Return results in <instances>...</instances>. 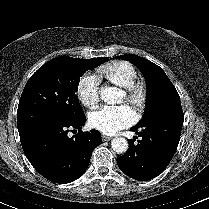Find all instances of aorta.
Segmentation results:
<instances>
[{
	"label": "aorta",
	"instance_id": "1",
	"mask_svg": "<svg viewBox=\"0 0 209 209\" xmlns=\"http://www.w3.org/2000/svg\"><path fill=\"white\" fill-rule=\"evenodd\" d=\"M121 95L122 92L117 87H106L101 90V99L107 103L116 101ZM111 147L116 153L122 154L128 150V142L123 137H115L111 141Z\"/></svg>",
	"mask_w": 209,
	"mask_h": 209
}]
</instances>
